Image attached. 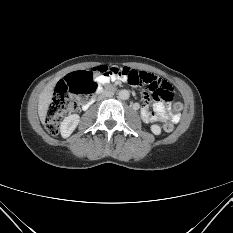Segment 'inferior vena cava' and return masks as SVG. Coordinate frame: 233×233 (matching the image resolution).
I'll use <instances>...</instances> for the list:
<instances>
[{
	"label": "inferior vena cava",
	"mask_w": 233,
	"mask_h": 233,
	"mask_svg": "<svg viewBox=\"0 0 233 233\" xmlns=\"http://www.w3.org/2000/svg\"><path fill=\"white\" fill-rule=\"evenodd\" d=\"M114 95H115V90L114 89H105L104 92L102 93L103 97L114 96Z\"/></svg>",
	"instance_id": "inferior-vena-cava-1"
}]
</instances>
